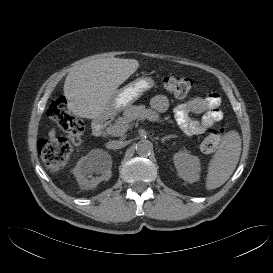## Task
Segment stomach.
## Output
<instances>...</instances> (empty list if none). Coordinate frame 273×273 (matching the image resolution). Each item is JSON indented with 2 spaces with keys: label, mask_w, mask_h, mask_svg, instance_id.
I'll return each mask as SVG.
<instances>
[{
  "label": "stomach",
  "mask_w": 273,
  "mask_h": 273,
  "mask_svg": "<svg viewBox=\"0 0 273 273\" xmlns=\"http://www.w3.org/2000/svg\"><path fill=\"white\" fill-rule=\"evenodd\" d=\"M153 85L154 80L151 77H140L120 88L112 99L113 111L117 112L128 108Z\"/></svg>",
  "instance_id": "stomach-1"
}]
</instances>
